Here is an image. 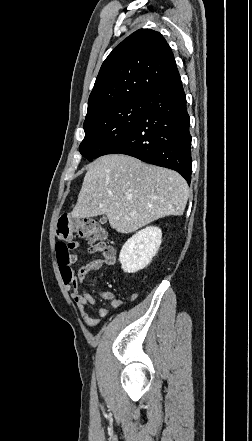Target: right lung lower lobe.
<instances>
[{
	"label": "right lung lower lobe",
	"instance_id": "1",
	"mask_svg": "<svg viewBox=\"0 0 252 441\" xmlns=\"http://www.w3.org/2000/svg\"><path fill=\"white\" fill-rule=\"evenodd\" d=\"M144 110L134 128L106 154H126L179 172L190 184L191 135L186 96L178 71L145 94Z\"/></svg>",
	"mask_w": 252,
	"mask_h": 441
}]
</instances>
